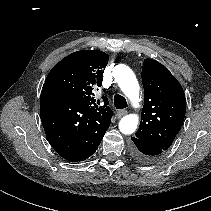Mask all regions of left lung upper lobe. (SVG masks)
Wrapping results in <instances>:
<instances>
[{"label":"left lung upper lobe","mask_w":211,"mask_h":211,"mask_svg":"<svg viewBox=\"0 0 211 211\" xmlns=\"http://www.w3.org/2000/svg\"><path fill=\"white\" fill-rule=\"evenodd\" d=\"M141 77L145 102L135 137L153 148L166 151L184 120V91L175 77L152 59L144 60Z\"/></svg>","instance_id":"1"}]
</instances>
